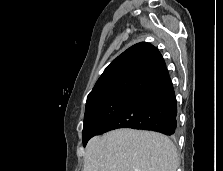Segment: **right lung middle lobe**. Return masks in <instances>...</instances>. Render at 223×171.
<instances>
[{"label": "right lung middle lobe", "mask_w": 223, "mask_h": 171, "mask_svg": "<svg viewBox=\"0 0 223 171\" xmlns=\"http://www.w3.org/2000/svg\"><path fill=\"white\" fill-rule=\"evenodd\" d=\"M136 96V94L119 93L87 103L82 132L83 144L86 145L90 138L98 135L100 130Z\"/></svg>", "instance_id": "obj_1"}]
</instances>
